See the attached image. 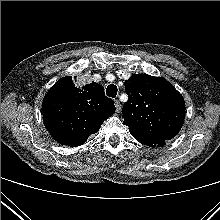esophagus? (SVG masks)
<instances>
[{
  "instance_id": "obj_1",
  "label": "esophagus",
  "mask_w": 220,
  "mask_h": 220,
  "mask_svg": "<svg viewBox=\"0 0 220 220\" xmlns=\"http://www.w3.org/2000/svg\"><path fill=\"white\" fill-rule=\"evenodd\" d=\"M114 105H115V108H116V112H117V113H120V112H121V109H122V106H121L120 101H119V100H115Z\"/></svg>"
}]
</instances>
